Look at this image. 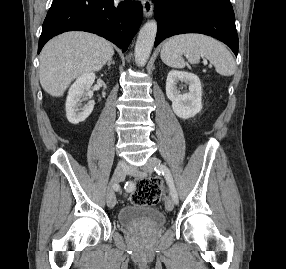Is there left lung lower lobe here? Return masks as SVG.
Masks as SVG:
<instances>
[{
    "mask_svg": "<svg viewBox=\"0 0 286 269\" xmlns=\"http://www.w3.org/2000/svg\"><path fill=\"white\" fill-rule=\"evenodd\" d=\"M158 31L155 46L182 33L217 38L238 54L235 15L230 0H153Z\"/></svg>",
    "mask_w": 286,
    "mask_h": 269,
    "instance_id": "obj_1",
    "label": "left lung lower lobe"
}]
</instances>
